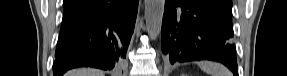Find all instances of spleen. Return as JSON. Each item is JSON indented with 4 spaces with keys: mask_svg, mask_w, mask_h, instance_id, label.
<instances>
[{
    "mask_svg": "<svg viewBox=\"0 0 287 76\" xmlns=\"http://www.w3.org/2000/svg\"><path fill=\"white\" fill-rule=\"evenodd\" d=\"M200 68L211 76H231V72L222 64L214 62H203Z\"/></svg>",
    "mask_w": 287,
    "mask_h": 76,
    "instance_id": "1",
    "label": "spleen"
}]
</instances>
